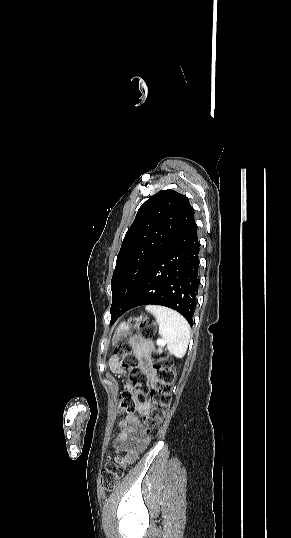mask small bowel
Returning <instances> with one entry per match:
<instances>
[{
    "instance_id": "1",
    "label": "small bowel",
    "mask_w": 291,
    "mask_h": 538,
    "mask_svg": "<svg viewBox=\"0 0 291 538\" xmlns=\"http://www.w3.org/2000/svg\"><path fill=\"white\" fill-rule=\"evenodd\" d=\"M135 346L139 351L142 350L143 342L140 339L135 340ZM111 374H117L120 370L118 365V358L111 361L109 367ZM150 409L149 403H143L137 407L138 412L141 415L148 414ZM119 430L115 433L114 448L117 451H126L127 454L123 458V462L130 464L143 452L148 443L149 437L142 428L139 419L130 414L118 423Z\"/></svg>"
}]
</instances>
